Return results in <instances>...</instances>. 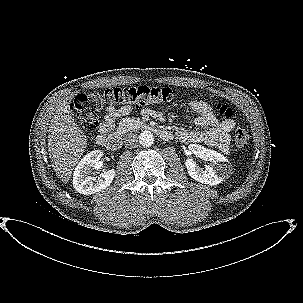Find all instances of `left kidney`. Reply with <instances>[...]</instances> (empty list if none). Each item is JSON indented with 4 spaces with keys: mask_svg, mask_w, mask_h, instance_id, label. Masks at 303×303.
I'll return each mask as SVG.
<instances>
[{
    "mask_svg": "<svg viewBox=\"0 0 303 303\" xmlns=\"http://www.w3.org/2000/svg\"><path fill=\"white\" fill-rule=\"evenodd\" d=\"M188 148L199 158L211 162L210 165L200 168L192 159L186 160L188 174L194 180L208 185H217L231 174L228 159L221 153L197 144H190Z\"/></svg>",
    "mask_w": 303,
    "mask_h": 303,
    "instance_id": "5707ae66",
    "label": "left kidney"
}]
</instances>
